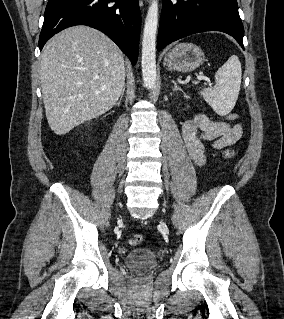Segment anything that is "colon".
Wrapping results in <instances>:
<instances>
[{
	"label": "colon",
	"instance_id": "5ec220e1",
	"mask_svg": "<svg viewBox=\"0 0 284 319\" xmlns=\"http://www.w3.org/2000/svg\"><path fill=\"white\" fill-rule=\"evenodd\" d=\"M238 115L236 113H230L227 115V120L233 121L237 119ZM223 156L226 158H232L235 156V151L232 149H227L223 152ZM144 240V237L141 234H136L129 239V244L131 246H138Z\"/></svg>",
	"mask_w": 284,
	"mask_h": 319
}]
</instances>
